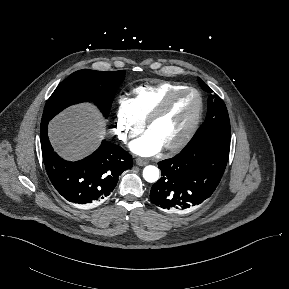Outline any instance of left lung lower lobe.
<instances>
[{
  "instance_id": "obj_1",
  "label": "left lung lower lobe",
  "mask_w": 289,
  "mask_h": 289,
  "mask_svg": "<svg viewBox=\"0 0 289 289\" xmlns=\"http://www.w3.org/2000/svg\"><path fill=\"white\" fill-rule=\"evenodd\" d=\"M229 151L228 141H203L160 161L161 178L152 186L150 200L173 213H183L201 204L218 186Z\"/></svg>"
}]
</instances>
